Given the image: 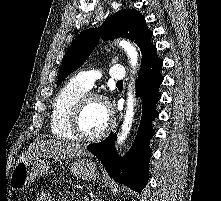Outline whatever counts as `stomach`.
I'll return each instance as SVG.
<instances>
[{"label": "stomach", "instance_id": "0dacf381", "mask_svg": "<svg viewBox=\"0 0 221 201\" xmlns=\"http://www.w3.org/2000/svg\"><path fill=\"white\" fill-rule=\"evenodd\" d=\"M49 171V162L31 157L17 162L9 177L12 190L19 191ZM71 172L83 180H95L99 176L96 165L89 159L78 158L71 165Z\"/></svg>", "mask_w": 221, "mask_h": 201}]
</instances>
